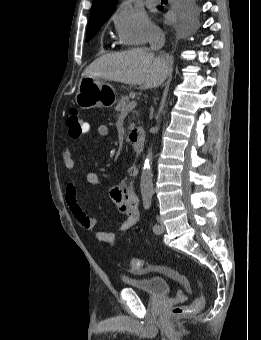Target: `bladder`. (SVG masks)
<instances>
[{
    "instance_id": "obj_1",
    "label": "bladder",
    "mask_w": 261,
    "mask_h": 340,
    "mask_svg": "<svg viewBox=\"0 0 261 340\" xmlns=\"http://www.w3.org/2000/svg\"><path fill=\"white\" fill-rule=\"evenodd\" d=\"M121 282L127 287L145 293L151 297H165L170 292V282L161 276H150L145 278L121 277Z\"/></svg>"
}]
</instances>
